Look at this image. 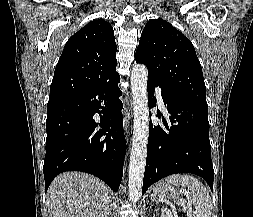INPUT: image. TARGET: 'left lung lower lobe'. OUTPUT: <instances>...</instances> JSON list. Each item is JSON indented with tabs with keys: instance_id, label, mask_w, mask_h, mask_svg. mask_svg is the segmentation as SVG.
<instances>
[{
	"instance_id": "left-lung-lower-lobe-1",
	"label": "left lung lower lobe",
	"mask_w": 253,
	"mask_h": 217,
	"mask_svg": "<svg viewBox=\"0 0 253 217\" xmlns=\"http://www.w3.org/2000/svg\"><path fill=\"white\" fill-rule=\"evenodd\" d=\"M157 86L148 79L149 108L155 105L156 100L151 101V98ZM161 95L171 116L162 115L164 126L153 125L150 121L142 194L161 178L176 173L196 174L213 190L207 105L163 90Z\"/></svg>"
}]
</instances>
